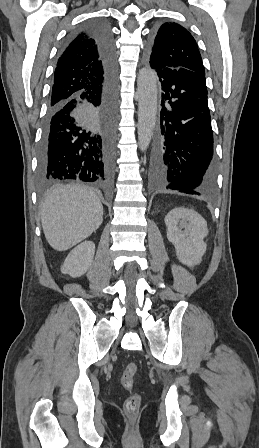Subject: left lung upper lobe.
I'll use <instances>...</instances> for the list:
<instances>
[{"mask_svg": "<svg viewBox=\"0 0 259 448\" xmlns=\"http://www.w3.org/2000/svg\"><path fill=\"white\" fill-rule=\"evenodd\" d=\"M147 57L150 65L155 68H185L205 75L198 45L183 26L173 23H163L151 40Z\"/></svg>", "mask_w": 259, "mask_h": 448, "instance_id": "obj_1", "label": "left lung upper lobe"}]
</instances>
